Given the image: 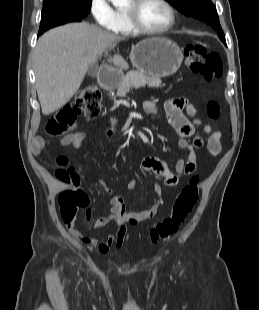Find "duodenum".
<instances>
[{"instance_id":"obj_1","label":"duodenum","mask_w":259,"mask_h":310,"mask_svg":"<svg viewBox=\"0 0 259 310\" xmlns=\"http://www.w3.org/2000/svg\"><path fill=\"white\" fill-rule=\"evenodd\" d=\"M99 81L104 89L115 88L121 81V75L114 72L101 70L99 72Z\"/></svg>"}]
</instances>
